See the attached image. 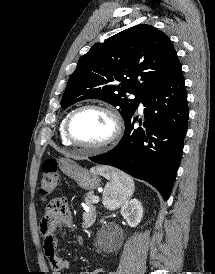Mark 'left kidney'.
<instances>
[{
    "label": "left kidney",
    "mask_w": 215,
    "mask_h": 274,
    "mask_svg": "<svg viewBox=\"0 0 215 274\" xmlns=\"http://www.w3.org/2000/svg\"><path fill=\"white\" fill-rule=\"evenodd\" d=\"M120 212L130 227H136L143 217V207L137 199L127 202Z\"/></svg>",
    "instance_id": "1"
}]
</instances>
